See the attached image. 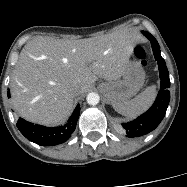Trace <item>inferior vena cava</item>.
Instances as JSON below:
<instances>
[{
  "label": "inferior vena cava",
  "instance_id": "1",
  "mask_svg": "<svg viewBox=\"0 0 187 187\" xmlns=\"http://www.w3.org/2000/svg\"><path fill=\"white\" fill-rule=\"evenodd\" d=\"M77 94H78V91H77V90H72V95H73V96H77Z\"/></svg>",
  "mask_w": 187,
  "mask_h": 187
}]
</instances>
